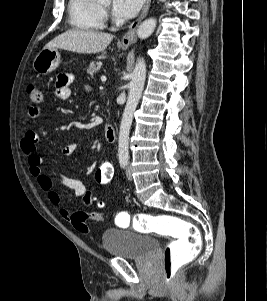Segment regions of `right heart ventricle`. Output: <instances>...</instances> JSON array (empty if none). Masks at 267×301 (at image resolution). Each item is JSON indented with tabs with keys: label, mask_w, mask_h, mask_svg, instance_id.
Returning <instances> with one entry per match:
<instances>
[{
	"label": "right heart ventricle",
	"mask_w": 267,
	"mask_h": 301,
	"mask_svg": "<svg viewBox=\"0 0 267 301\" xmlns=\"http://www.w3.org/2000/svg\"><path fill=\"white\" fill-rule=\"evenodd\" d=\"M68 12L71 25L78 30L94 31L104 26L103 11L98 0H70Z\"/></svg>",
	"instance_id": "e07e8e85"
}]
</instances>
